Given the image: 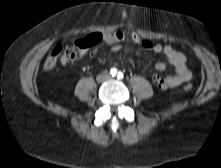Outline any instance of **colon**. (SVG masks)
Listing matches in <instances>:
<instances>
[{
	"label": "colon",
	"instance_id": "obj_1",
	"mask_svg": "<svg viewBox=\"0 0 221 168\" xmlns=\"http://www.w3.org/2000/svg\"><path fill=\"white\" fill-rule=\"evenodd\" d=\"M128 38V32L125 28L114 29L113 31L104 32L100 34H91L84 39L75 41L71 45H57L50 55L46 58L44 68L52 70L58 64H65L82 57L87 50L95 47L100 42L105 45H113L116 42H124ZM130 42L133 45L143 46L144 40L139 32H131L129 34ZM186 91H190L192 86L190 84L184 87Z\"/></svg>",
	"mask_w": 221,
	"mask_h": 168
}]
</instances>
